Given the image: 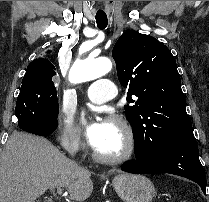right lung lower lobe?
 Listing matches in <instances>:
<instances>
[{
	"label": "right lung lower lobe",
	"mask_w": 209,
	"mask_h": 202,
	"mask_svg": "<svg viewBox=\"0 0 209 202\" xmlns=\"http://www.w3.org/2000/svg\"><path fill=\"white\" fill-rule=\"evenodd\" d=\"M18 126L27 132L47 136L58 126L57 118H43L35 114H27L18 118Z\"/></svg>",
	"instance_id": "obj_1"
}]
</instances>
